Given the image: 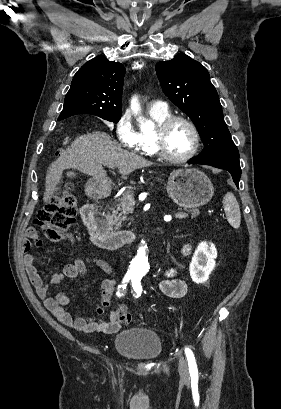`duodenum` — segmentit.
<instances>
[{"instance_id": "obj_1", "label": "duodenum", "mask_w": 281, "mask_h": 409, "mask_svg": "<svg viewBox=\"0 0 281 409\" xmlns=\"http://www.w3.org/2000/svg\"><path fill=\"white\" fill-rule=\"evenodd\" d=\"M101 200L106 202L108 197L103 195ZM81 216L89 230L93 243L97 247L112 250L133 242L134 234L130 231H109L106 227L105 218L96 205L91 203L85 204L81 209Z\"/></svg>"}]
</instances>
